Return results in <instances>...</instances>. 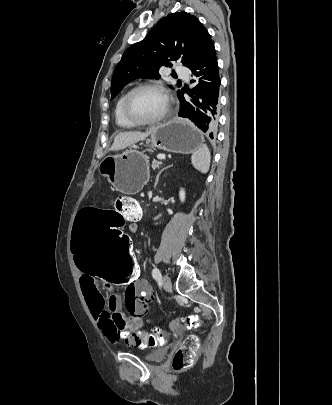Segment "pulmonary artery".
<instances>
[{
  "label": "pulmonary artery",
  "instance_id": "obj_1",
  "mask_svg": "<svg viewBox=\"0 0 332 405\" xmlns=\"http://www.w3.org/2000/svg\"><path fill=\"white\" fill-rule=\"evenodd\" d=\"M175 71H176V73H177L180 77H182V78H184V79H188V78H189L188 72H187V70H186L184 67L177 66V67L175 68Z\"/></svg>",
  "mask_w": 332,
  "mask_h": 405
}]
</instances>
